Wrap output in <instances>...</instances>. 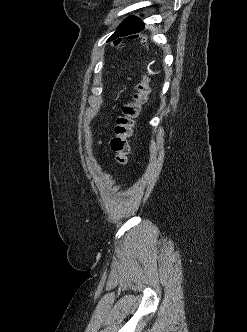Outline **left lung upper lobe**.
<instances>
[{"instance_id":"1","label":"left lung upper lobe","mask_w":247,"mask_h":332,"mask_svg":"<svg viewBox=\"0 0 247 332\" xmlns=\"http://www.w3.org/2000/svg\"><path fill=\"white\" fill-rule=\"evenodd\" d=\"M132 18V17H131ZM130 18H128V19H126L120 26H119V28L117 29V31L109 38V40H113V39H116V38H118V31H119V29H120V27L126 22V21H128ZM108 40V41H109Z\"/></svg>"}]
</instances>
